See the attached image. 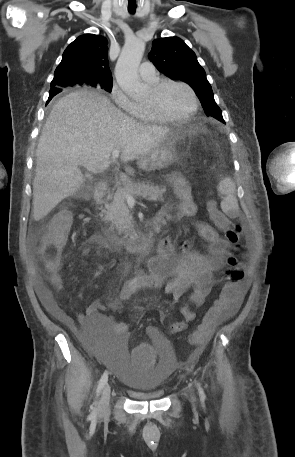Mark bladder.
<instances>
[{
	"instance_id": "obj_1",
	"label": "bladder",
	"mask_w": 295,
	"mask_h": 457,
	"mask_svg": "<svg viewBox=\"0 0 295 457\" xmlns=\"http://www.w3.org/2000/svg\"><path fill=\"white\" fill-rule=\"evenodd\" d=\"M127 338H86L88 356H97L100 365H109L116 373L119 382L139 399H160L165 395V385L170 378L169 369H177V360L172 359L173 348L163 342L156 344L161 351L156 358V366L151 371H136L129 358Z\"/></svg>"
}]
</instances>
